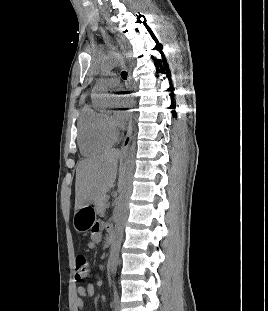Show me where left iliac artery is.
Listing matches in <instances>:
<instances>
[{
    "label": "left iliac artery",
    "mask_w": 268,
    "mask_h": 311,
    "mask_svg": "<svg viewBox=\"0 0 268 311\" xmlns=\"http://www.w3.org/2000/svg\"><path fill=\"white\" fill-rule=\"evenodd\" d=\"M113 300H114L115 311H119V296H118L115 282H113Z\"/></svg>",
    "instance_id": "44dca946"
}]
</instances>
